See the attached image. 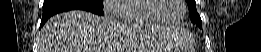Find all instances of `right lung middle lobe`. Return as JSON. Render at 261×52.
<instances>
[{"label":"right lung middle lobe","mask_w":261,"mask_h":52,"mask_svg":"<svg viewBox=\"0 0 261 52\" xmlns=\"http://www.w3.org/2000/svg\"><path fill=\"white\" fill-rule=\"evenodd\" d=\"M78 2L85 4V5H89L92 7H96L99 9L103 8V0H77Z\"/></svg>","instance_id":"obj_1"}]
</instances>
